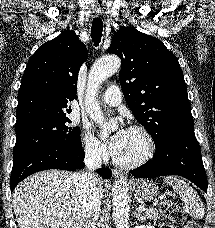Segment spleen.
Returning a JSON list of instances; mask_svg holds the SVG:
<instances>
[{"mask_svg":"<svg viewBox=\"0 0 215 228\" xmlns=\"http://www.w3.org/2000/svg\"><path fill=\"white\" fill-rule=\"evenodd\" d=\"M167 184L172 186L174 192H178L180 194L183 204L187 206V210L195 220L198 218H204L205 210L204 206L195 190L186 184L184 180H180L178 176H168V178H164Z\"/></svg>","mask_w":215,"mask_h":228,"instance_id":"3e777b00","label":"spleen"}]
</instances>
